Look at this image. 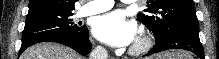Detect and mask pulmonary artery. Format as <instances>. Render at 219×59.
<instances>
[{"instance_id":"obj_1","label":"pulmonary artery","mask_w":219,"mask_h":59,"mask_svg":"<svg viewBox=\"0 0 219 59\" xmlns=\"http://www.w3.org/2000/svg\"><path fill=\"white\" fill-rule=\"evenodd\" d=\"M86 2L87 4L84 5L79 11L80 16L98 14L113 7V1L111 0H91Z\"/></svg>"}]
</instances>
